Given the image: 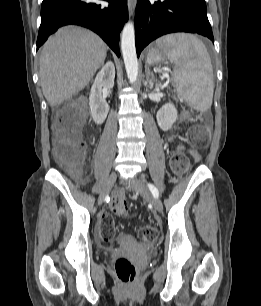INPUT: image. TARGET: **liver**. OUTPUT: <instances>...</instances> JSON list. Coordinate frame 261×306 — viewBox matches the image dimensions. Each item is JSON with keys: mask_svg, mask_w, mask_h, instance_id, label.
Returning a JSON list of instances; mask_svg holds the SVG:
<instances>
[{"mask_svg": "<svg viewBox=\"0 0 261 306\" xmlns=\"http://www.w3.org/2000/svg\"><path fill=\"white\" fill-rule=\"evenodd\" d=\"M106 53L103 40L81 27L65 28L51 36L41 50L39 71L48 104L60 105L87 86Z\"/></svg>", "mask_w": 261, "mask_h": 306, "instance_id": "6515ba94", "label": "liver"}]
</instances>
